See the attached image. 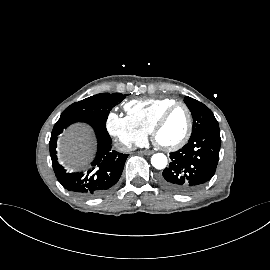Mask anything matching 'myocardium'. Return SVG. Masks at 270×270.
I'll return each mask as SVG.
<instances>
[{"mask_svg":"<svg viewBox=\"0 0 270 270\" xmlns=\"http://www.w3.org/2000/svg\"><path fill=\"white\" fill-rule=\"evenodd\" d=\"M178 107L184 108L186 113H187L188 125H187L186 132H185L184 136L178 142H176L172 145H162L157 140L158 132L160 131L162 126L165 124V122L167 121V119L169 118L171 113L175 109H177ZM192 130H193V115H192L191 109L184 102H176V103L172 104L171 106H169L157 119V121L155 122V124L151 130V138H152L154 145L157 148H159L163 151H166V152H173V151H176V150L182 148L188 142V140L192 134Z\"/></svg>","mask_w":270,"mask_h":270,"instance_id":"myocardium-1","label":"myocardium"}]
</instances>
